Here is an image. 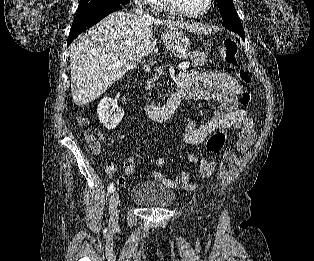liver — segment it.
I'll return each mask as SVG.
<instances>
[{"label":"liver","instance_id":"1","mask_svg":"<svg viewBox=\"0 0 314 261\" xmlns=\"http://www.w3.org/2000/svg\"><path fill=\"white\" fill-rule=\"evenodd\" d=\"M153 24L192 29L191 25L179 21L144 19L119 11L105 17L72 43L71 93L76 105L98 98L154 50ZM121 60H126V64L108 69Z\"/></svg>","mask_w":314,"mask_h":261}]
</instances>
